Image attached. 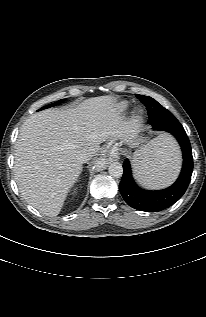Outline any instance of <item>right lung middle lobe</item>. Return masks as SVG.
<instances>
[{
	"label": "right lung middle lobe",
	"instance_id": "1",
	"mask_svg": "<svg viewBox=\"0 0 206 317\" xmlns=\"http://www.w3.org/2000/svg\"><path fill=\"white\" fill-rule=\"evenodd\" d=\"M60 102H62V100H60V101H58V102H55V103H53V104L47 105V106H45V107H42L40 110L46 109V108H49V107H52V106H55V105H57V104L60 103Z\"/></svg>",
	"mask_w": 206,
	"mask_h": 317
}]
</instances>
